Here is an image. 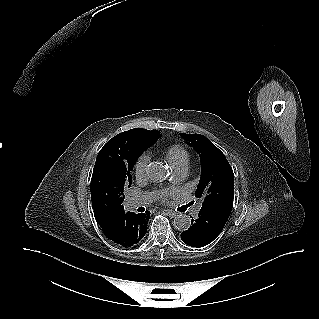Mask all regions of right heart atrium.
I'll return each mask as SVG.
<instances>
[{
	"instance_id": "obj_1",
	"label": "right heart atrium",
	"mask_w": 319,
	"mask_h": 319,
	"mask_svg": "<svg viewBox=\"0 0 319 319\" xmlns=\"http://www.w3.org/2000/svg\"><path fill=\"white\" fill-rule=\"evenodd\" d=\"M149 163V156L147 154L140 155L134 165L135 175L137 178H142L146 174Z\"/></svg>"
}]
</instances>
